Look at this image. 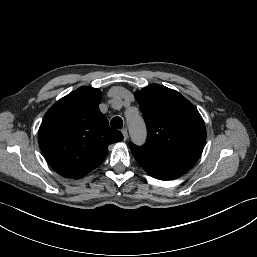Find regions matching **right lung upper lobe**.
I'll return each instance as SVG.
<instances>
[{"mask_svg": "<svg viewBox=\"0 0 257 257\" xmlns=\"http://www.w3.org/2000/svg\"><path fill=\"white\" fill-rule=\"evenodd\" d=\"M101 91L80 87L57 101L46 113L38 132L41 151L60 175L82 177L98 167L110 144L123 135L110 128L99 110Z\"/></svg>", "mask_w": 257, "mask_h": 257, "instance_id": "obj_1", "label": "right lung upper lobe"}]
</instances>
